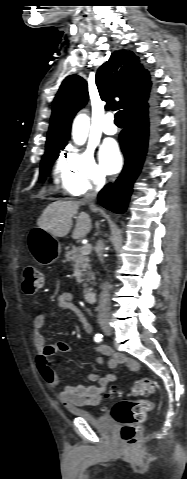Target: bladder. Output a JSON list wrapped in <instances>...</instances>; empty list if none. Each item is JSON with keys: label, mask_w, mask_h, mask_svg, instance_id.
I'll use <instances>...</instances> for the list:
<instances>
[{"label": "bladder", "mask_w": 187, "mask_h": 479, "mask_svg": "<svg viewBox=\"0 0 187 479\" xmlns=\"http://www.w3.org/2000/svg\"><path fill=\"white\" fill-rule=\"evenodd\" d=\"M79 417L86 419L92 424L101 434H111L115 429L114 421L106 416H94L85 410H75L73 412Z\"/></svg>", "instance_id": "1"}]
</instances>
